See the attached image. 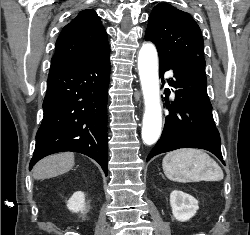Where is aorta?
Listing matches in <instances>:
<instances>
[{
    "label": "aorta",
    "mask_w": 250,
    "mask_h": 235,
    "mask_svg": "<svg viewBox=\"0 0 250 235\" xmlns=\"http://www.w3.org/2000/svg\"><path fill=\"white\" fill-rule=\"evenodd\" d=\"M138 70L145 101L142 139L145 144L152 145L158 140L162 125L158 56L153 44L142 45L138 55Z\"/></svg>",
    "instance_id": "1"
}]
</instances>
